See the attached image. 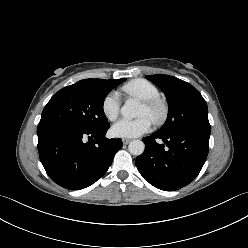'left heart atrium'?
<instances>
[{"mask_svg": "<svg viewBox=\"0 0 248 248\" xmlns=\"http://www.w3.org/2000/svg\"><path fill=\"white\" fill-rule=\"evenodd\" d=\"M152 128L148 116H141L136 119L122 118L113 124L111 132L116 137L134 138L149 132Z\"/></svg>", "mask_w": 248, "mask_h": 248, "instance_id": "left-heart-atrium-1", "label": "left heart atrium"}]
</instances>
